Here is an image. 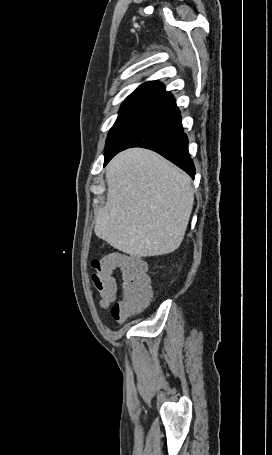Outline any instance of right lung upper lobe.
I'll return each mask as SVG.
<instances>
[{
	"instance_id": "1",
	"label": "right lung upper lobe",
	"mask_w": 272,
	"mask_h": 455,
	"mask_svg": "<svg viewBox=\"0 0 272 455\" xmlns=\"http://www.w3.org/2000/svg\"><path fill=\"white\" fill-rule=\"evenodd\" d=\"M129 100H145L161 102L168 105L174 102V97L170 92H167L162 83L158 81H150L140 85L132 92L125 101Z\"/></svg>"
}]
</instances>
